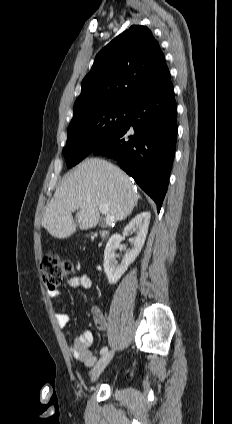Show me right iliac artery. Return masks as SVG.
I'll return each instance as SVG.
<instances>
[{
    "label": "right iliac artery",
    "instance_id": "1",
    "mask_svg": "<svg viewBox=\"0 0 232 424\" xmlns=\"http://www.w3.org/2000/svg\"><path fill=\"white\" fill-rule=\"evenodd\" d=\"M107 350H108V348H107V347H103V348L100 350V354L102 355V354L106 353V352H107Z\"/></svg>",
    "mask_w": 232,
    "mask_h": 424
}]
</instances>
